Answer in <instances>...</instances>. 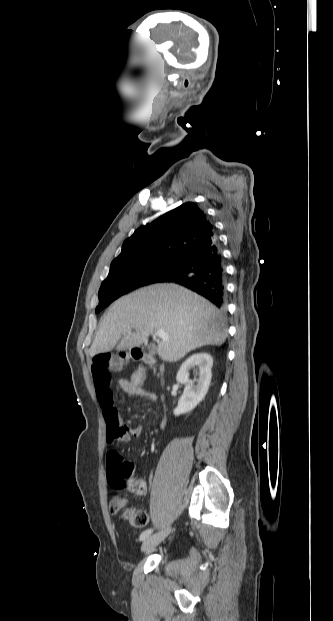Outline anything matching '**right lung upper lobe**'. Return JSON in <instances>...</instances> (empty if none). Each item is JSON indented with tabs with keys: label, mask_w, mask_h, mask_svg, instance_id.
<instances>
[{
	"label": "right lung upper lobe",
	"mask_w": 333,
	"mask_h": 621,
	"mask_svg": "<svg viewBox=\"0 0 333 621\" xmlns=\"http://www.w3.org/2000/svg\"><path fill=\"white\" fill-rule=\"evenodd\" d=\"M217 239L213 224L194 202L163 214L127 238L111 264L195 253Z\"/></svg>",
	"instance_id": "1"
}]
</instances>
